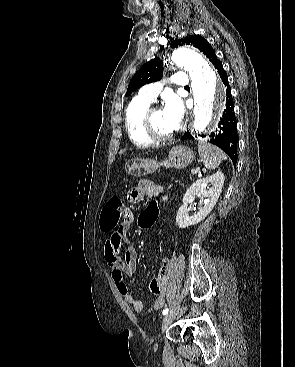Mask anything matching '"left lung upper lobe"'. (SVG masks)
I'll return each mask as SVG.
<instances>
[{
    "instance_id": "obj_1",
    "label": "left lung upper lobe",
    "mask_w": 295,
    "mask_h": 367,
    "mask_svg": "<svg viewBox=\"0 0 295 367\" xmlns=\"http://www.w3.org/2000/svg\"><path fill=\"white\" fill-rule=\"evenodd\" d=\"M170 45L171 48L191 45L199 49L211 62L217 58L212 46L200 35H191L181 39H175L171 41ZM162 65L163 62L157 57L146 62L130 80L126 95H130L133 91L145 84L160 80L163 77Z\"/></svg>"
}]
</instances>
